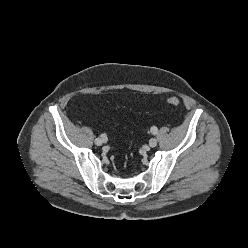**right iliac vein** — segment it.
Returning a JSON list of instances; mask_svg holds the SVG:
<instances>
[{
    "label": "right iliac vein",
    "instance_id": "1",
    "mask_svg": "<svg viewBox=\"0 0 248 248\" xmlns=\"http://www.w3.org/2000/svg\"><path fill=\"white\" fill-rule=\"evenodd\" d=\"M100 139H101V141H102V144L107 142V139H103V138H100ZM102 144H101V145H102Z\"/></svg>",
    "mask_w": 248,
    "mask_h": 248
}]
</instances>
